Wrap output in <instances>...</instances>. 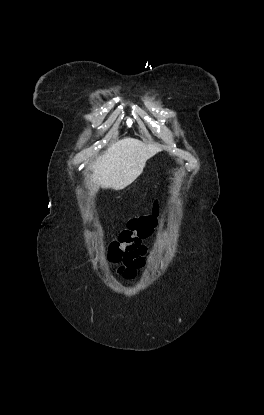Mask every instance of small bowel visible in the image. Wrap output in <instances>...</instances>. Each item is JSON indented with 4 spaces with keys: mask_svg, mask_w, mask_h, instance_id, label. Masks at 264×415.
Wrapping results in <instances>:
<instances>
[{
    "mask_svg": "<svg viewBox=\"0 0 264 415\" xmlns=\"http://www.w3.org/2000/svg\"><path fill=\"white\" fill-rule=\"evenodd\" d=\"M149 254L148 248L137 250L130 264L124 265V267L121 268L120 273L127 279L133 278L135 276L136 269L144 266L148 262Z\"/></svg>",
    "mask_w": 264,
    "mask_h": 415,
    "instance_id": "1",
    "label": "small bowel"
}]
</instances>
